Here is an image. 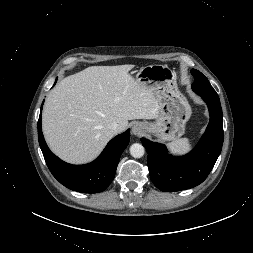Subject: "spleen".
Masks as SVG:
<instances>
[{
    "instance_id": "1",
    "label": "spleen",
    "mask_w": 253,
    "mask_h": 253,
    "mask_svg": "<svg viewBox=\"0 0 253 253\" xmlns=\"http://www.w3.org/2000/svg\"><path fill=\"white\" fill-rule=\"evenodd\" d=\"M169 149L173 154L182 155L189 152L192 149L190 139L181 138L168 144Z\"/></svg>"
}]
</instances>
